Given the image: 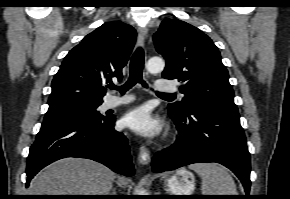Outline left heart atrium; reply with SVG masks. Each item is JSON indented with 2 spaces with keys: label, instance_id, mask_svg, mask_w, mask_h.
Returning a JSON list of instances; mask_svg holds the SVG:
<instances>
[{
  "label": "left heart atrium",
  "instance_id": "obj_1",
  "mask_svg": "<svg viewBox=\"0 0 290 199\" xmlns=\"http://www.w3.org/2000/svg\"><path fill=\"white\" fill-rule=\"evenodd\" d=\"M122 123L125 127L144 137H155L162 128L160 119L152 114L150 107L145 105L127 112Z\"/></svg>",
  "mask_w": 290,
  "mask_h": 199
}]
</instances>
